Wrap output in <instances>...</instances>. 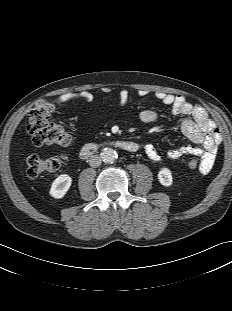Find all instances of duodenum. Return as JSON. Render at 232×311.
Wrapping results in <instances>:
<instances>
[{"instance_id":"duodenum-1","label":"duodenum","mask_w":232,"mask_h":311,"mask_svg":"<svg viewBox=\"0 0 232 311\" xmlns=\"http://www.w3.org/2000/svg\"><path fill=\"white\" fill-rule=\"evenodd\" d=\"M105 146H113L126 152H136L138 150V145L132 141H113L109 143H88L81 148L80 155L82 158L91 157L100 148Z\"/></svg>"}]
</instances>
